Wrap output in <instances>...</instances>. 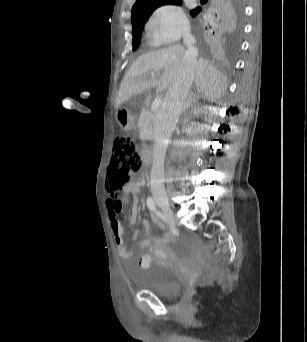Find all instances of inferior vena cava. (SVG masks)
Wrapping results in <instances>:
<instances>
[{
    "label": "inferior vena cava",
    "instance_id": "1",
    "mask_svg": "<svg viewBox=\"0 0 307 342\" xmlns=\"http://www.w3.org/2000/svg\"><path fill=\"white\" fill-rule=\"evenodd\" d=\"M186 50L181 68H179L175 82L168 88L164 102L159 110L155 130V144L153 146V162L151 168V190L165 194L164 186V160L170 136L176 128L181 108H183L189 90L194 80L197 66V50L194 36L186 34L184 38Z\"/></svg>",
    "mask_w": 307,
    "mask_h": 342
}]
</instances>
